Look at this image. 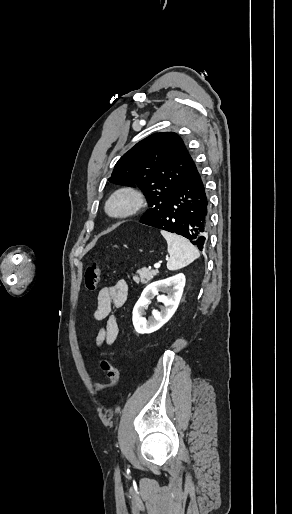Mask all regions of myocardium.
I'll use <instances>...</instances> for the list:
<instances>
[{
  "label": "myocardium",
  "instance_id": "1",
  "mask_svg": "<svg viewBox=\"0 0 292 514\" xmlns=\"http://www.w3.org/2000/svg\"><path fill=\"white\" fill-rule=\"evenodd\" d=\"M143 204L142 195L131 187L114 191L107 199L104 211L112 218H123L137 212Z\"/></svg>",
  "mask_w": 292,
  "mask_h": 514
}]
</instances>
